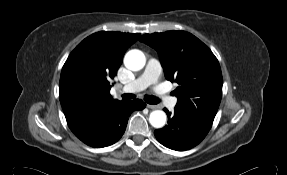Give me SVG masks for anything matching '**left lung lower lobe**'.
<instances>
[{
	"label": "left lung lower lobe",
	"mask_w": 287,
	"mask_h": 175,
	"mask_svg": "<svg viewBox=\"0 0 287 175\" xmlns=\"http://www.w3.org/2000/svg\"><path fill=\"white\" fill-rule=\"evenodd\" d=\"M168 124L154 131L156 139L167 148L176 151L189 150L198 145L208 132L200 129L185 115L174 110L171 114L166 108Z\"/></svg>",
	"instance_id": "0a47b994"
}]
</instances>
